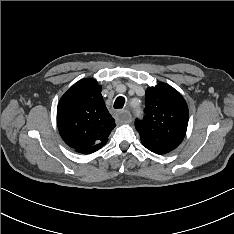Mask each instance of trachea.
Masks as SVG:
<instances>
[{
  "label": "trachea",
  "instance_id": "obj_1",
  "mask_svg": "<svg viewBox=\"0 0 234 234\" xmlns=\"http://www.w3.org/2000/svg\"><path fill=\"white\" fill-rule=\"evenodd\" d=\"M124 103H125V98L122 96H119V97H117V99L114 102V108L121 109V108H123Z\"/></svg>",
  "mask_w": 234,
  "mask_h": 234
}]
</instances>
